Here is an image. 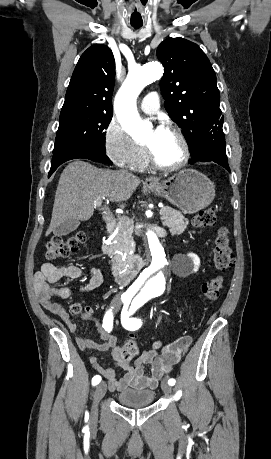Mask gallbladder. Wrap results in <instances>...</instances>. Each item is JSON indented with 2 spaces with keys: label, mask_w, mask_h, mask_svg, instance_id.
I'll return each mask as SVG.
<instances>
[{
  "label": "gallbladder",
  "mask_w": 271,
  "mask_h": 459,
  "mask_svg": "<svg viewBox=\"0 0 271 459\" xmlns=\"http://www.w3.org/2000/svg\"><path fill=\"white\" fill-rule=\"evenodd\" d=\"M78 226H80L79 220H74V218H71V220H67V222H63V224H60V226L54 228L53 233L54 235H67V233L74 231V229L78 228Z\"/></svg>",
  "instance_id": "gallbladder-1"
}]
</instances>
